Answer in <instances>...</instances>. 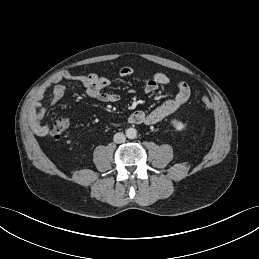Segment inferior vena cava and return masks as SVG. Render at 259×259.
I'll return each mask as SVG.
<instances>
[{"label": "inferior vena cava", "mask_w": 259, "mask_h": 259, "mask_svg": "<svg viewBox=\"0 0 259 259\" xmlns=\"http://www.w3.org/2000/svg\"><path fill=\"white\" fill-rule=\"evenodd\" d=\"M113 140H114L115 143L120 144V143H124L125 142L126 137H125V135L123 133L119 132V133H116L114 135Z\"/></svg>", "instance_id": "602c4592"}]
</instances>
